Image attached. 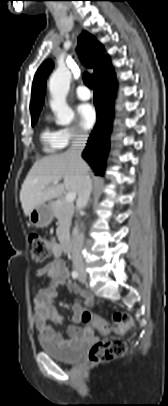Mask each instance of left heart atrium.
<instances>
[{"label": "left heart atrium", "instance_id": "1", "mask_svg": "<svg viewBox=\"0 0 168 406\" xmlns=\"http://www.w3.org/2000/svg\"><path fill=\"white\" fill-rule=\"evenodd\" d=\"M77 111L82 127H84L85 129L92 128L97 118L96 111L93 105L89 103L81 104L78 106Z\"/></svg>", "mask_w": 168, "mask_h": 406}]
</instances>
